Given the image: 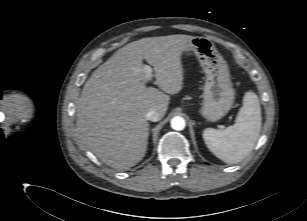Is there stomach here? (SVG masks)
Returning a JSON list of instances; mask_svg holds the SVG:
<instances>
[{
    "label": "stomach",
    "instance_id": "0dacf381",
    "mask_svg": "<svg viewBox=\"0 0 307 221\" xmlns=\"http://www.w3.org/2000/svg\"><path fill=\"white\" fill-rule=\"evenodd\" d=\"M185 51H193L206 74L200 114L216 122L232 108L235 91L230 80L228 65L213 42L205 37H192Z\"/></svg>",
    "mask_w": 307,
    "mask_h": 221
}]
</instances>
